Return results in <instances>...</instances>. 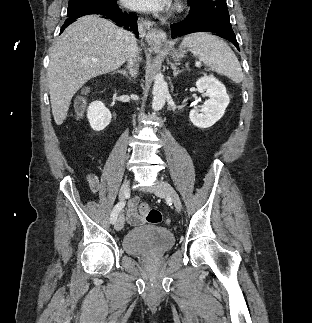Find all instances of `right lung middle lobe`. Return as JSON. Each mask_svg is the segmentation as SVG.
Segmentation results:
<instances>
[{"label": "right lung middle lobe", "mask_w": 312, "mask_h": 323, "mask_svg": "<svg viewBox=\"0 0 312 323\" xmlns=\"http://www.w3.org/2000/svg\"><path fill=\"white\" fill-rule=\"evenodd\" d=\"M117 3L115 0H69L67 15L73 12H78L88 8L95 7H115Z\"/></svg>", "instance_id": "1"}]
</instances>
